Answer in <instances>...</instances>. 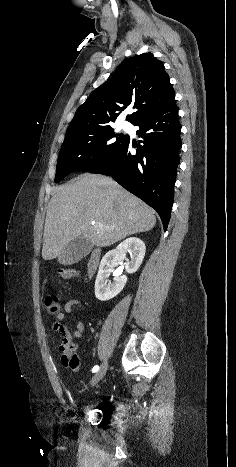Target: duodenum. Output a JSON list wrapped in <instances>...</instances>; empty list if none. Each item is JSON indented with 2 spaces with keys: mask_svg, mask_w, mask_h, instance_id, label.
Returning <instances> with one entry per match:
<instances>
[{
  "mask_svg": "<svg viewBox=\"0 0 236 467\" xmlns=\"http://www.w3.org/2000/svg\"><path fill=\"white\" fill-rule=\"evenodd\" d=\"M101 256L102 253L100 249L95 248L94 250H92L86 266V275L88 278H91L98 270L101 261Z\"/></svg>",
  "mask_w": 236,
  "mask_h": 467,
  "instance_id": "obj_1",
  "label": "duodenum"
}]
</instances>
